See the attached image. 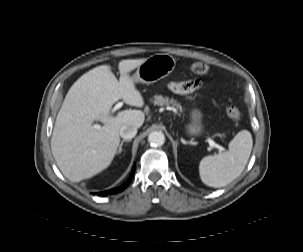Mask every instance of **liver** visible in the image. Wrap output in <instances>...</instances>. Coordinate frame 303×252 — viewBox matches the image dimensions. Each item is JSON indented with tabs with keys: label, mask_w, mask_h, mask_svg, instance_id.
<instances>
[{
	"label": "liver",
	"mask_w": 303,
	"mask_h": 252,
	"mask_svg": "<svg viewBox=\"0 0 303 252\" xmlns=\"http://www.w3.org/2000/svg\"><path fill=\"white\" fill-rule=\"evenodd\" d=\"M145 60H121L119 80L109 65L98 66L69 89L56 118L51 150L59 169L70 181L80 182L106 169L117 152L120 128L143 125L145 114L141 110H123L116 116L110 112L119 99L143 107V97L129 73ZM94 121L103 126L93 128Z\"/></svg>",
	"instance_id": "liver-1"
}]
</instances>
